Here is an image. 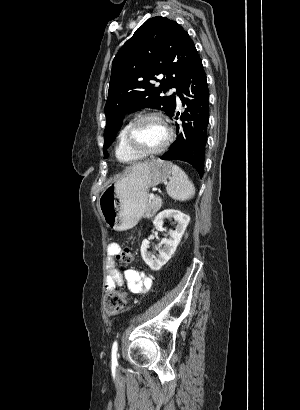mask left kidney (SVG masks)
Wrapping results in <instances>:
<instances>
[{
	"instance_id": "5707ae66",
	"label": "left kidney",
	"mask_w": 300,
	"mask_h": 410,
	"mask_svg": "<svg viewBox=\"0 0 300 410\" xmlns=\"http://www.w3.org/2000/svg\"><path fill=\"white\" fill-rule=\"evenodd\" d=\"M173 218L176 222L175 230H170V238H163L161 244L162 248H159V255L154 257L149 251V241L147 239L143 240L141 245V256L144 262L153 271H158L165 265L175 253L177 246L179 245L181 238L188 226L190 217L187 214L182 213L178 210L166 209L157 214L153 224L156 228H162L165 219Z\"/></svg>"
}]
</instances>
